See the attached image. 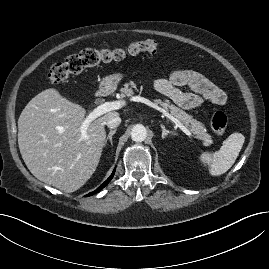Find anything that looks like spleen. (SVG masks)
Instances as JSON below:
<instances>
[{"mask_svg":"<svg viewBox=\"0 0 269 269\" xmlns=\"http://www.w3.org/2000/svg\"><path fill=\"white\" fill-rule=\"evenodd\" d=\"M244 141V135L238 132L232 133L219 151L203 152L200 155V160L209 166V173L212 176L222 175L235 163Z\"/></svg>","mask_w":269,"mask_h":269,"instance_id":"3e777b00","label":"spleen"}]
</instances>
